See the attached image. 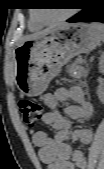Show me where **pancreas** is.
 Returning a JSON list of instances; mask_svg holds the SVG:
<instances>
[{"label":"pancreas","instance_id":"1","mask_svg":"<svg viewBox=\"0 0 104 169\" xmlns=\"http://www.w3.org/2000/svg\"><path fill=\"white\" fill-rule=\"evenodd\" d=\"M81 59H77L70 67H69V74L73 78H81L87 74V69L81 66L82 64Z\"/></svg>","mask_w":104,"mask_h":169}]
</instances>
